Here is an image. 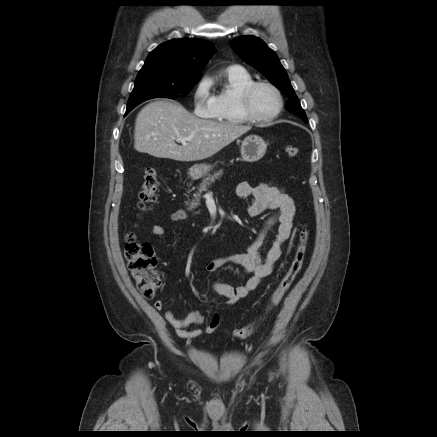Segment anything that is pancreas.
Returning <instances> with one entry per match:
<instances>
[{
	"label": "pancreas",
	"instance_id": "obj_1",
	"mask_svg": "<svg viewBox=\"0 0 437 437\" xmlns=\"http://www.w3.org/2000/svg\"><path fill=\"white\" fill-rule=\"evenodd\" d=\"M221 175H222V170L214 173V175H208L206 178L203 179L202 183L199 186L198 193H197V195H195V199L192 200V202L186 204V205H188V210L191 211V210L195 209L198 205H200L199 196H200L201 192L206 191L207 186H209L211 183H214L215 180L218 179Z\"/></svg>",
	"mask_w": 437,
	"mask_h": 437
}]
</instances>
